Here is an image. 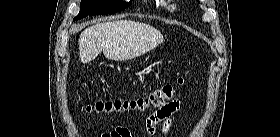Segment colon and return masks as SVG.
I'll use <instances>...</instances> for the list:
<instances>
[{"label":"colon","instance_id":"1","mask_svg":"<svg viewBox=\"0 0 280 137\" xmlns=\"http://www.w3.org/2000/svg\"><path fill=\"white\" fill-rule=\"evenodd\" d=\"M186 83L187 78L182 76L175 84L163 85L146 96L124 100H99L94 104L88 105L86 109L103 114L141 113L152 107H158L165 101L170 100L174 96L177 88L184 86Z\"/></svg>","mask_w":280,"mask_h":137}]
</instances>
